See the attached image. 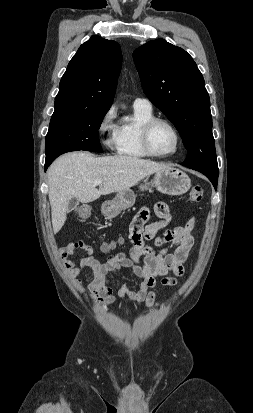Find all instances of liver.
<instances>
[{"label":"liver","mask_w":253,"mask_h":413,"mask_svg":"<svg viewBox=\"0 0 253 413\" xmlns=\"http://www.w3.org/2000/svg\"><path fill=\"white\" fill-rule=\"evenodd\" d=\"M168 164L131 156L95 157L87 152H71L58 157L47 171L52 227L58 233L67 219L72 198L83 203L101 195L128 190ZM101 180L99 189L94 181Z\"/></svg>","instance_id":"1"}]
</instances>
